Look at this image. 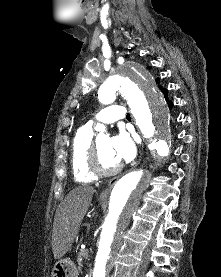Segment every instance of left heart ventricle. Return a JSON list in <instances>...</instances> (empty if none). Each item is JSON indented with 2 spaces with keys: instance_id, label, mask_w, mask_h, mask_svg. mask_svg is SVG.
Segmentation results:
<instances>
[{
  "instance_id": "left-heart-ventricle-1",
  "label": "left heart ventricle",
  "mask_w": 221,
  "mask_h": 277,
  "mask_svg": "<svg viewBox=\"0 0 221 277\" xmlns=\"http://www.w3.org/2000/svg\"><path fill=\"white\" fill-rule=\"evenodd\" d=\"M99 158L102 168L112 169L120 162L116 159L112 147L111 140L108 137H102L98 139Z\"/></svg>"
}]
</instances>
